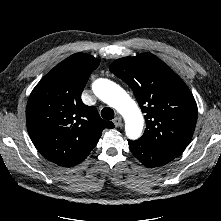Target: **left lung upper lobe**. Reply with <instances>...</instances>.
<instances>
[{
  "instance_id": "obj_1",
  "label": "left lung upper lobe",
  "mask_w": 221,
  "mask_h": 221,
  "mask_svg": "<svg viewBox=\"0 0 221 221\" xmlns=\"http://www.w3.org/2000/svg\"><path fill=\"white\" fill-rule=\"evenodd\" d=\"M109 69L133 90L145 114L140 140L172 155L181 154L198 116L194 97L182 79L150 53L118 59Z\"/></svg>"
}]
</instances>
